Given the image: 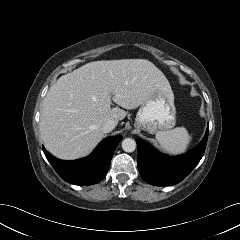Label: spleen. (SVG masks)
I'll list each match as a JSON object with an SVG mask.
<instances>
[{
	"label": "spleen",
	"mask_w": 240,
	"mask_h": 240,
	"mask_svg": "<svg viewBox=\"0 0 240 240\" xmlns=\"http://www.w3.org/2000/svg\"><path fill=\"white\" fill-rule=\"evenodd\" d=\"M156 140L165 152L178 155L186 152L192 141V136L186 128L177 127L170 131L157 132Z\"/></svg>",
	"instance_id": "obj_1"
}]
</instances>
